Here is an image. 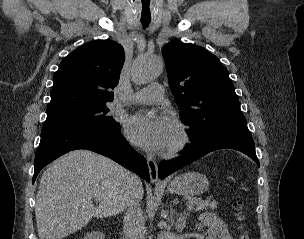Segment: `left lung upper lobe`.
<instances>
[{"mask_svg": "<svg viewBox=\"0 0 304 239\" xmlns=\"http://www.w3.org/2000/svg\"><path fill=\"white\" fill-rule=\"evenodd\" d=\"M162 54L193 143L226 132L250 133L228 71L216 56L181 41L166 44Z\"/></svg>", "mask_w": 304, "mask_h": 239, "instance_id": "5c2ea615", "label": "left lung upper lobe"}]
</instances>
